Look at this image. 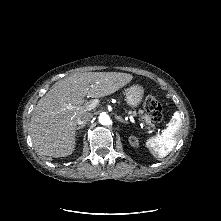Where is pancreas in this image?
Returning <instances> with one entry per match:
<instances>
[{
  "label": "pancreas",
  "instance_id": "1",
  "mask_svg": "<svg viewBox=\"0 0 221 221\" xmlns=\"http://www.w3.org/2000/svg\"><path fill=\"white\" fill-rule=\"evenodd\" d=\"M140 113L142 114L143 111H140ZM141 118H142L143 121L145 122L147 129H150V128H154V127H155L154 123L152 122L151 117H150L148 114L142 115Z\"/></svg>",
  "mask_w": 221,
  "mask_h": 221
}]
</instances>
